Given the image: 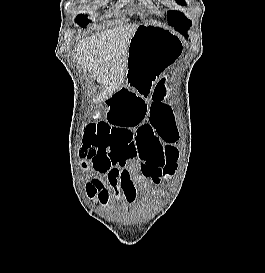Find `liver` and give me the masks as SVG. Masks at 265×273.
<instances>
[{
	"instance_id": "6515ba94",
	"label": "liver",
	"mask_w": 265,
	"mask_h": 273,
	"mask_svg": "<svg viewBox=\"0 0 265 273\" xmlns=\"http://www.w3.org/2000/svg\"><path fill=\"white\" fill-rule=\"evenodd\" d=\"M137 27L136 24L121 25L79 41L76 53L79 62L101 85L94 101L108 98L123 85L130 40Z\"/></svg>"
}]
</instances>
